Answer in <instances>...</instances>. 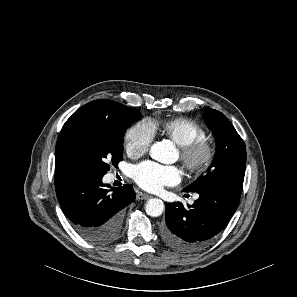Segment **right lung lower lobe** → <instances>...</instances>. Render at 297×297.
I'll return each instance as SVG.
<instances>
[{
	"instance_id": "98d812e1",
	"label": "right lung lower lobe",
	"mask_w": 297,
	"mask_h": 297,
	"mask_svg": "<svg viewBox=\"0 0 297 297\" xmlns=\"http://www.w3.org/2000/svg\"><path fill=\"white\" fill-rule=\"evenodd\" d=\"M102 177L80 169L55 172V189L60 206L84 239L106 243L118 237L122 209L135 199L130 184L106 189Z\"/></svg>"
}]
</instances>
